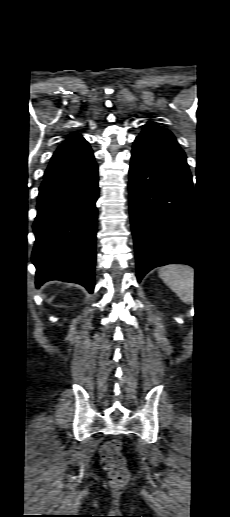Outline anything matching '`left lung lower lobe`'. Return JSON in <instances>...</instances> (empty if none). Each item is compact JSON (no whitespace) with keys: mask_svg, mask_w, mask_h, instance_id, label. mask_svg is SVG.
Instances as JSON below:
<instances>
[{"mask_svg":"<svg viewBox=\"0 0 230 517\" xmlns=\"http://www.w3.org/2000/svg\"><path fill=\"white\" fill-rule=\"evenodd\" d=\"M129 199L138 282L166 264L197 268L192 250L194 191L186 157L135 141Z\"/></svg>","mask_w":230,"mask_h":517,"instance_id":"0a47b994","label":"left lung lower lobe"}]
</instances>
